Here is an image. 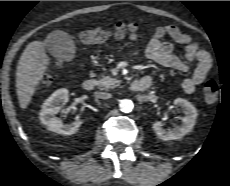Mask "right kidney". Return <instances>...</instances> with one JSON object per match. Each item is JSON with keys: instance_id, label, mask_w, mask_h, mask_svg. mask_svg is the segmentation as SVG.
I'll list each match as a JSON object with an SVG mask.
<instances>
[{"instance_id": "1", "label": "right kidney", "mask_w": 230, "mask_h": 186, "mask_svg": "<svg viewBox=\"0 0 230 186\" xmlns=\"http://www.w3.org/2000/svg\"><path fill=\"white\" fill-rule=\"evenodd\" d=\"M68 94L69 91L67 89H58L43 103L39 118L41 123L44 124L49 131L62 135H72L76 133L81 126V120L72 122L71 124H63L59 118L54 116L59 112L61 105L68 101Z\"/></svg>"}]
</instances>
